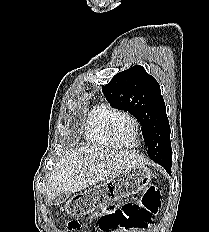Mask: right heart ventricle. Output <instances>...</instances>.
Returning <instances> with one entry per match:
<instances>
[{
  "label": "right heart ventricle",
  "instance_id": "right-heart-ventricle-1",
  "mask_svg": "<svg viewBox=\"0 0 209 232\" xmlns=\"http://www.w3.org/2000/svg\"><path fill=\"white\" fill-rule=\"evenodd\" d=\"M120 111L108 103L95 106L88 115L85 132L88 142L100 149H111L116 146L108 135V125L111 119ZM131 148L137 146L136 139L130 144Z\"/></svg>",
  "mask_w": 209,
  "mask_h": 232
}]
</instances>
